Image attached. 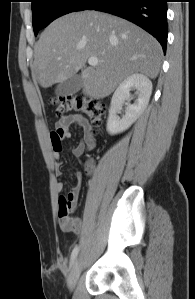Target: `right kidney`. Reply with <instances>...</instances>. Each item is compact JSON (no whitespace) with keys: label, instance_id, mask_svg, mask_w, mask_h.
<instances>
[{"label":"right kidney","instance_id":"obj_1","mask_svg":"<svg viewBox=\"0 0 195 299\" xmlns=\"http://www.w3.org/2000/svg\"><path fill=\"white\" fill-rule=\"evenodd\" d=\"M132 89L136 90L137 99L127 106L125 115L120 119L117 112L121 110L122 104L130 99ZM151 93L152 82L143 74L136 73L122 81L111 99L106 127L108 133L115 135L127 130L146 109Z\"/></svg>","mask_w":195,"mask_h":299}]
</instances>
